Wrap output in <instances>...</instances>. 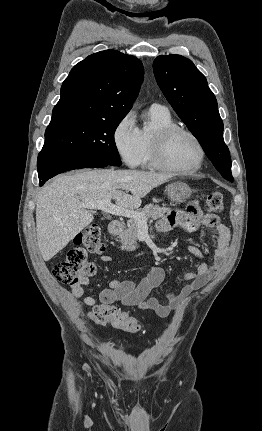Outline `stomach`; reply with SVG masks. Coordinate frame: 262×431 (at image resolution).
Segmentation results:
<instances>
[{"label":"stomach","instance_id":"stomach-1","mask_svg":"<svg viewBox=\"0 0 262 431\" xmlns=\"http://www.w3.org/2000/svg\"><path fill=\"white\" fill-rule=\"evenodd\" d=\"M167 196L173 203L180 204L188 200L192 194L191 188L184 182L176 181L167 186Z\"/></svg>","mask_w":262,"mask_h":431}]
</instances>
